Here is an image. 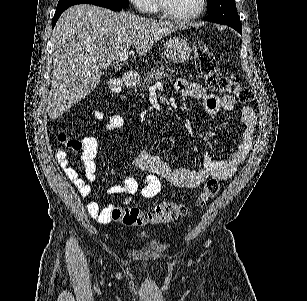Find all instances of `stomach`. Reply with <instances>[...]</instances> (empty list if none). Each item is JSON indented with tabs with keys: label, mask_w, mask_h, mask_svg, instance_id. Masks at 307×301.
Listing matches in <instances>:
<instances>
[{
	"label": "stomach",
	"mask_w": 307,
	"mask_h": 301,
	"mask_svg": "<svg viewBox=\"0 0 307 301\" xmlns=\"http://www.w3.org/2000/svg\"><path fill=\"white\" fill-rule=\"evenodd\" d=\"M164 54L169 62H185L191 54V46L186 38L173 36L165 40Z\"/></svg>",
	"instance_id": "1"
}]
</instances>
